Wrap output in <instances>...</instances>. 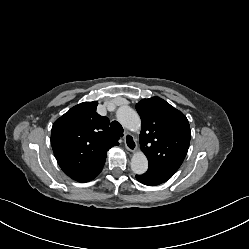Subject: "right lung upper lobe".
I'll use <instances>...</instances> for the list:
<instances>
[{
    "label": "right lung upper lobe",
    "mask_w": 249,
    "mask_h": 249,
    "mask_svg": "<svg viewBox=\"0 0 249 249\" xmlns=\"http://www.w3.org/2000/svg\"><path fill=\"white\" fill-rule=\"evenodd\" d=\"M98 103L83 102L57 119L51 131L55 158L65 174L78 182L94 179L102 170L107 151L118 145L109 119L96 112Z\"/></svg>",
    "instance_id": "cb5924a9"
}]
</instances>
